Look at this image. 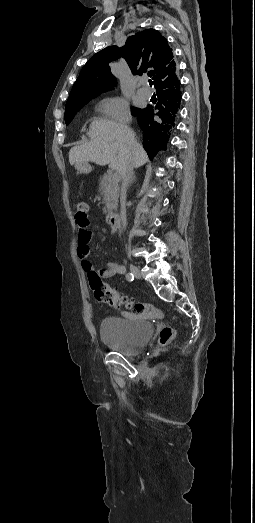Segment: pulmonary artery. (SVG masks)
<instances>
[{"label": "pulmonary artery", "mask_w": 255, "mask_h": 523, "mask_svg": "<svg viewBox=\"0 0 255 523\" xmlns=\"http://www.w3.org/2000/svg\"><path fill=\"white\" fill-rule=\"evenodd\" d=\"M140 86L137 91L138 95L144 99H150L153 95V90L150 88L146 78L141 79Z\"/></svg>", "instance_id": "1"}]
</instances>
